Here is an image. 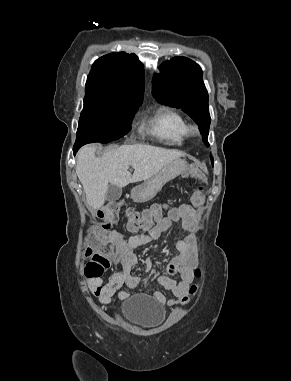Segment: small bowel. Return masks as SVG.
<instances>
[{
	"label": "small bowel",
	"mask_w": 291,
	"mask_h": 381,
	"mask_svg": "<svg viewBox=\"0 0 291 381\" xmlns=\"http://www.w3.org/2000/svg\"><path fill=\"white\" fill-rule=\"evenodd\" d=\"M196 213V210L188 204H182L171 208L167 217L159 221L146 234L133 235L124 239L119 232H111L106 242H110L113 246L114 255L121 261L122 270L110 276L107 282H104L101 277H89L88 284L92 294L103 304H108L116 292L121 299L126 298L127 293L121 290L122 286L137 287L140 284V280L131 274L132 268L138 263V258L133 250L152 240H157L172 222H178L184 233L183 237L178 238L175 242L178 254L167 265V275L160 277V283L172 293L174 299L167 300L165 295L159 291L154 293V297L163 305L186 304L189 301L188 288L193 281V269L198 260L195 239L192 234ZM93 237L97 238V231ZM151 264V261L147 262V265ZM171 275H179L180 280L175 281L170 277Z\"/></svg>",
	"instance_id": "small-bowel-1"
}]
</instances>
